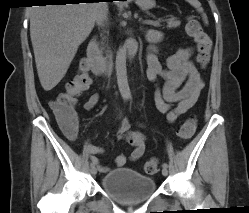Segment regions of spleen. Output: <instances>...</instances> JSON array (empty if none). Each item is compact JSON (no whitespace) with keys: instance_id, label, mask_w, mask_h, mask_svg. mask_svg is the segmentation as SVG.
I'll list each match as a JSON object with an SVG mask.
<instances>
[{"instance_id":"3e777b00","label":"spleen","mask_w":249,"mask_h":213,"mask_svg":"<svg viewBox=\"0 0 249 213\" xmlns=\"http://www.w3.org/2000/svg\"><path fill=\"white\" fill-rule=\"evenodd\" d=\"M188 3H190L192 6H194L198 12L202 13V17L203 20L205 21V23L207 24V17L206 15L203 13V8L201 7V3L198 0H186Z\"/></svg>"}]
</instances>
